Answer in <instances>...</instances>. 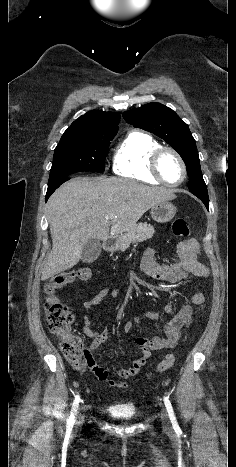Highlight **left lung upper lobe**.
Instances as JSON below:
<instances>
[{"label":"left lung upper lobe","mask_w":236,"mask_h":467,"mask_svg":"<svg viewBox=\"0 0 236 467\" xmlns=\"http://www.w3.org/2000/svg\"><path fill=\"white\" fill-rule=\"evenodd\" d=\"M123 118L134 127L159 136L180 154L187 166L190 191H207L195 140L188 125L172 109L160 103H149L124 112Z\"/></svg>","instance_id":"5c2ea615"}]
</instances>
